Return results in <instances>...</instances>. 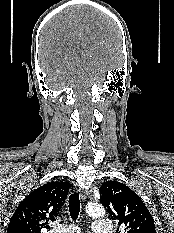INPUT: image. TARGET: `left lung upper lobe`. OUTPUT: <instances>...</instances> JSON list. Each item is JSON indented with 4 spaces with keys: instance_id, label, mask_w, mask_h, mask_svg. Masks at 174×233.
I'll list each match as a JSON object with an SVG mask.
<instances>
[{
    "instance_id": "1",
    "label": "left lung upper lobe",
    "mask_w": 174,
    "mask_h": 233,
    "mask_svg": "<svg viewBox=\"0 0 174 233\" xmlns=\"http://www.w3.org/2000/svg\"><path fill=\"white\" fill-rule=\"evenodd\" d=\"M99 191L100 203L126 233H156L149 210L128 186L117 181H107L102 183Z\"/></svg>"
}]
</instances>
